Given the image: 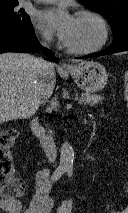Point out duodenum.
Instances as JSON below:
<instances>
[{
	"mask_svg": "<svg viewBox=\"0 0 128 213\" xmlns=\"http://www.w3.org/2000/svg\"><path fill=\"white\" fill-rule=\"evenodd\" d=\"M84 123H86L85 120H84ZM30 126L32 129V132L40 140L41 145L46 155L48 156V158L51 160L55 159L57 155V147H56L54 136L42 127L38 118H34L31 121Z\"/></svg>",
	"mask_w": 128,
	"mask_h": 213,
	"instance_id": "410a0bca",
	"label": "duodenum"
}]
</instances>
